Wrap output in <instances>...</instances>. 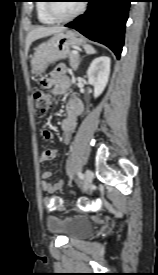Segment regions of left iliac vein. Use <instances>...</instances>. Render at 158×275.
I'll list each match as a JSON object with an SVG mask.
<instances>
[{
  "label": "left iliac vein",
  "instance_id": "1",
  "mask_svg": "<svg viewBox=\"0 0 158 275\" xmlns=\"http://www.w3.org/2000/svg\"><path fill=\"white\" fill-rule=\"evenodd\" d=\"M92 180H93V174L89 169H87L84 174V189L86 191L89 190Z\"/></svg>",
  "mask_w": 158,
  "mask_h": 275
}]
</instances>
